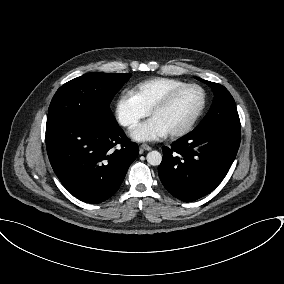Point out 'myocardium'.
<instances>
[{
	"instance_id": "obj_1",
	"label": "myocardium",
	"mask_w": 284,
	"mask_h": 284,
	"mask_svg": "<svg viewBox=\"0 0 284 284\" xmlns=\"http://www.w3.org/2000/svg\"><path fill=\"white\" fill-rule=\"evenodd\" d=\"M190 88H196L198 89L201 94H202V102L194 116L191 118V120L184 125L183 127L171 131L167 133V135L171 138H177V137H182L186 134H188L197 124L198 120L202 116L206 104H207V92L206 90L199 84L196 83H186L185 85H182L180 87L175 88L172 90L170 93H168L164 98H162L159 102H157L150 110V115L152 116L155 112L160 111L166 107H168L174 100L175 98L183 91L190 89Z\"/></svg>"
}]
</instances>
